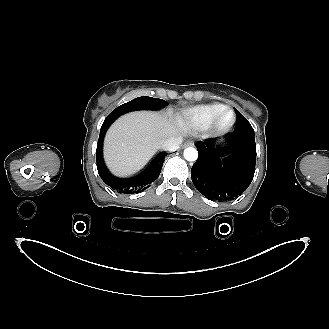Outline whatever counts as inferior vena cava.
Here are the masks:
<instances>
[{
  "mask_svg": "<svg viewBox=\"0 0 329 329\" xmlns=\"http://www.w3.org/2000/svg\"><path fill=\"white\" fill-rule=\"evenodd\" d=\"M181 143H182L181 137H171L163 141L160 145V148L168 151H176Z\"/></svg>",
  "mask_w": 329,
  "mask_h": 329,
  "instance_id": "602c4592",
  "label": "inferior vena cava"
}]
</instances>
